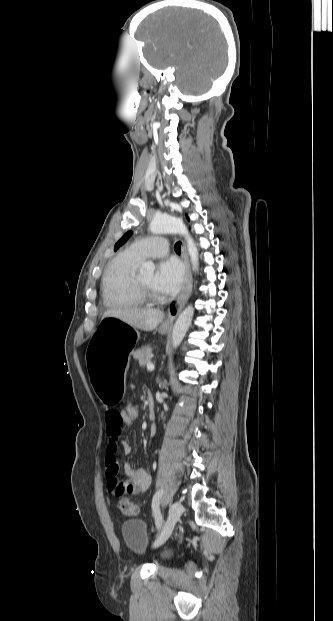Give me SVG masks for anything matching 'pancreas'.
Here are the masks:
<instances>
[{"label":"pancreas","instance_id":"pancreas-1","mask_svg":"<svg viewBox=\"0 0 333 621\" xmlns=\"http://www.w3.org/2000/svg\"><path fill=\"white\" fill-rule=\"evenodd\" d=\"M133 357L139 361L140 366H145L151 362L153 357L152 349L150 347H142L133 352Z\"/></svg>","mask_w":333,"mask_h":621}]
</instances>
